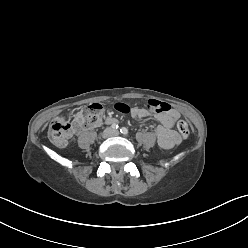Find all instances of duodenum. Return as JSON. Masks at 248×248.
Segmentation results:
<instances>
[{
	"instance_id": "duodenum-1",
	"label": "duodenum",
	"mask_w": 248,
	"mask_h": 248,
	"mask_svg": "<svg viewBox=\"0 0 248 248\" xmlns=\"http://www.w3.org/2000/svg\"><path fill=\"white\" fill-rule=\"evenodd\" d=\"M105 122L108 124H113V123H117V119L111 116H108L105 118Z\"/></svg>"
}]
</instances>
